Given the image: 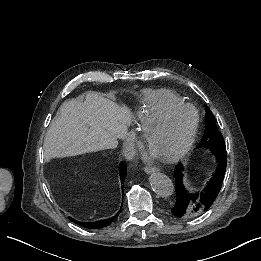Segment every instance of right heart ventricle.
<instances>
[{"label":"right heart ventricle","instance_id":"obj_1","mask_svg":"<svg viewBox=\"0 0 261 261\" xmlns=\"http://www.w3.org/2000/svg\"><path fill=\"white\" fill-rule=\"evenodd\" d=\"M183 103V98L170 88H147L143 89L140 101L133 107L132 121H138L151 114H155L169 104Z\"/></svg>","mask_w":261,"mask_h":261}]
</instances>
